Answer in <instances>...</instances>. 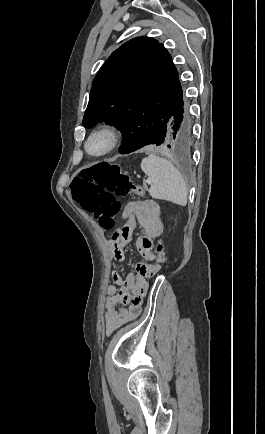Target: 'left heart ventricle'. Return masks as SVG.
I'll use <instances>...</instances> for the list:
<instances>
[{"label":"left heart ventricle","mask_w":265,"mask_h":434,"mask_svg":"<svg viewBox=\"0 0 265 434\" xmlns=\"http://www.w3.org/2000/svg\"><path fill=\"white\" fill-rule=\"evenodd\" d=\"M101 146H102L101 142H99V141L94 142V143L91 145V150H92V151H96V150L100 149Z\"/></svg>","instance_id":"obj_1"}]
</instances>
